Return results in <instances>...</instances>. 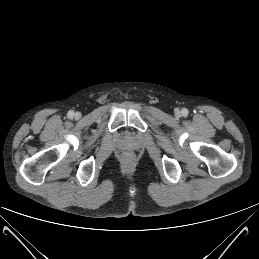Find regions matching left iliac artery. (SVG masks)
Masks as SVG:
<instances>
[{
    "instance_id": "44dca946",
    "label": "left iliac artery",
    "mask_w": 259,
    "mask_h": 259,
    "mask_svg": "<svg viewBox=\"0 0 259 259\" xmlns=\"http://www.w3.org/2000/svg\"><path fill=\"white\" fill-rule=\"evenodd\" d=\"M188 113H189V111H188L186 108H183V109H182V115H183V116L186 117V116L188 115Z\"/></svg>"
}]
</instances>
